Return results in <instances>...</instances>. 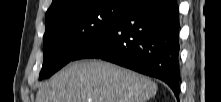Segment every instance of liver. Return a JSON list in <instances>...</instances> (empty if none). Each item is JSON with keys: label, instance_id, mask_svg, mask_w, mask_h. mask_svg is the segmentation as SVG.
I'll use <instances>...</instances> for the list:
<instances>
[{"label": "liver", "instance_id": "liver-1", "mask_svg": "<svg viewBox=\"0 0 221 102\" xmlns=\"http://www.w3.org/2000/svg\"><path fill=\"white\" fill-rule=\"evenodd\" d=\"M157 88L152 80L131 70L101 60H83L42 84L36 102H146Z\"/></svg>", "mask_w": 221, "mask_h": 102}]
</instances>
